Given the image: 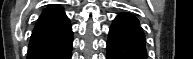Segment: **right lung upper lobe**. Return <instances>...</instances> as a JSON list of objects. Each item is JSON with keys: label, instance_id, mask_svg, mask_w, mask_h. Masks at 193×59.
<instances>
[{"label": "right lung upper lobe", "instance_id": "right-lung-upper-lobe-1", "mask_svg": "<svg viewBox=\"0 0 193 59\" xmlns=\"http://www.w3.org/2000/svg\"><path fill=\"white\" fill-rule=\"evenodd\" d=\"M71 31L69 19L59 6H49L41 14L29 46L57 40Z\"/></svg>", "mask_w": 193, "mask_h": 59}]
</instances>
